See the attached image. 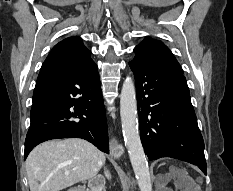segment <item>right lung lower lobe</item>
Instances as JSON below:
<instances>
[{
	"mask_svg": "<svg viewBox=\"0 0 233 191\" xmlns=\"http://www.w3.org/2000/svg\"><path fill=\"white\" fill-rule=\"evenodd\" d=\"M30 118L24 159L41 142L69 137L83 138L109 153L106 113L94 62L76 71L39 73Z\"/></svg>",
	"mask_w": 233,
	"mask_h": 191,
	"instance_id": "1",
	"label": "right lung lower lobe"
}]
</instances>
